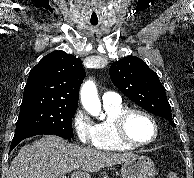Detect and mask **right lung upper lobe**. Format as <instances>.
<instances>
[{"instance_id":"1","label":"right lung upper lobe","mask_w":194,"mask_h":178,"mask_svg":"<svg viewBox=\"0 0 194 178\" xmlns=\"http://www.w3.org/2000/svg\"><path fill=\"white\" fill-rule=\"evenodd\" d=\"M85 70L79 58L64 51L46 55L30 72L23 100L50 98L78 105Z\"/></svg>"}]
</instances>
